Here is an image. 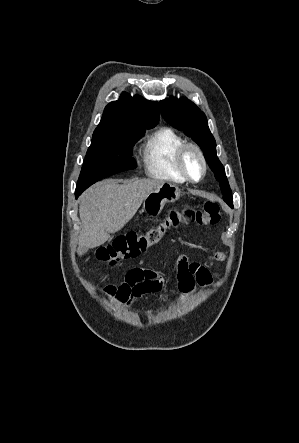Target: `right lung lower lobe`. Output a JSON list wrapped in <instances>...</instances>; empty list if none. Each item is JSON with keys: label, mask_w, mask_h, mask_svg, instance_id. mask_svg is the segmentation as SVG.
Masks as SVG:
<instances>
[{"label": "right lung lower lobe", "mask_w": 299, "mask_h": 443, "mask_svg": "<svg viewBox=\"0 0 299 443\" xmlns=\"http://www.w3.org/2000/svg\"><path fill=\"white\" fill-rule=\"evenodd\" d=\"M81 193H75V197L78 198Z\"/></svg>", "instance_id": "1"}]
</instances>
